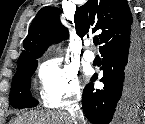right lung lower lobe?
Instances as JSON below:
<instances>
[{
	"mask_svg": "<svg viewBox=\"0 0 145 124\" xmlns=\"http://www.w3.org/2000/svg\"><path fill=\"white\" fill-rule=\"evenodd\" d=\"M103 56L102 90L88 84L82 108L94 124H109L113 117L132 119L145 98V37L132 24L100 47ZM97 76L94 75L93 79Z\"/></svg>",
	"mask_w": 145,
	"mask_h": 124,
	"instance_id": "obj_1",
	"label": "right lung lower lobe"
}]
</instances>
